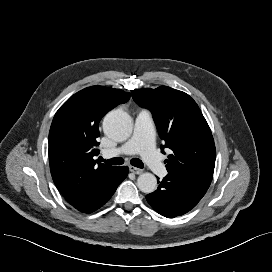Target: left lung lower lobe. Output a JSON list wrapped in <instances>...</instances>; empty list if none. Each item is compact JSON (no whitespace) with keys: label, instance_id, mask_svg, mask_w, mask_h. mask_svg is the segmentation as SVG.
Wrapping results in <instances>:
<instances>
[{"label":"left lung lower lobe","instance_id":"1","mask_svg":"<svg viewBox=\"0 0 272 272\" xmlns=\"http://www.w3.org/2000/svg\"><path fill=\"white\" fill-rule=\"evenodd\" d=\"M156 191L146 196L159 214L174 218L193 209L208 190L211 180L169 172Z\"/></svg>","mask_w":272,"mask_h":272}]
</instances>
